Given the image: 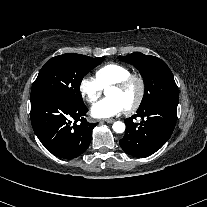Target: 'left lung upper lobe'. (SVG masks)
Segmentation results:
<instances>
[{
  "label": "left lung upper lobe",
  "mask_w": 207,
  "mask_h": 207,
  "mask_svg": "<svg viewBox=\"0 0 207 207\" xmlns=\"http://www.w3.org/2000/svg\"><path fill=\"white\" fill-rule=\"evenodd\" d=\"M119 59L135 66L144 79L145 94L138 110H143L158 100L178 99V87L163 60L140 52L119 56Z\"/></svg>",
  "instance_id": "1"
}]
</instances>
